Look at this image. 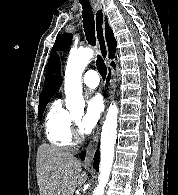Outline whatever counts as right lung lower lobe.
<instances>
[{"label":"right lung lower lobe","instance_id":"obj_1","mask_svg":"<svg viewBox=\"0 0 178 195\" xmlns=\"http://www.w3.org/2000/svg\"><path fill=\"white\" fill-rule=\"evenodd\" d=\"M113 67H115V64L112 65ZM85 157V152H82L80 154V158L83 160ZM93 167L96 171H98L99 169V151L97 150V152L95 153V156H94V163H93Z\"/></svg>","mask_w":178,"mask_h":195}]
</instances>
